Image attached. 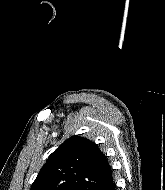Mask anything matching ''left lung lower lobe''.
Returning a JSON list of instances; mask_svg holds the SVG:
<instances>
[{
    "label": "left lung lower lobe",
    "mask_w": 165,
    "mask_h": 190,
    "mask_svg": "<svg viewBox=\"0 0 165 190\" xmlns=\"http://www.w3.org/2000/svg\"><path fill=\"white\" fill-rule=\"evenodd\" d=\"M99 190H116V185L111 175L107 178V180L103 183V185L99 188Z\"/></svg>",
    "instance_id": "1"
}]
</instances>
